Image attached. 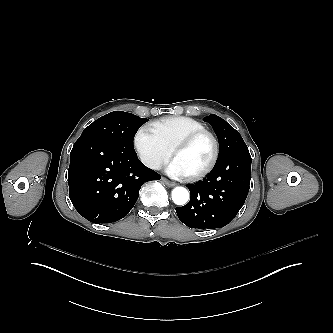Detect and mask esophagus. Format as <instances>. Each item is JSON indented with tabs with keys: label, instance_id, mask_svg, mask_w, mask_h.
<instances>
[{
	"label": "esophagus",
	"instance_id": "34e87169",
	"mask_svg": "<svg viewBox=\"0 0 333 333\" xmlns=\"http://www.w3.org/2000/svg\"><path fill=\"white\" fill-rule=\"evenodd\" d=\"M161 180L168 186V187H173L176 185L175 182H172L168 180L166 177H162Z\"/></svg>",
	"mask_w": 333,
	"mask_h": 333
}]
</instances>
